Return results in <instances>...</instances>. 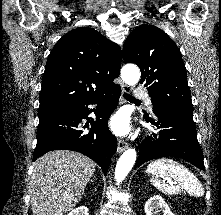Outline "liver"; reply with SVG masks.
<instances>
[{"label": "liver", "mask_w": 221, "mask_h": 215, "mask_svg": "<svg viewBox=\"0 0 221 215\" xmlns=\"http://www.w3.org/2000/svg\"><path fill=\"white\" fill-rule=\"evenodd\" d=\"M95 162L74 151H50L33 164L30 182L33 215H63L73 210L95 171Z\"/></svg>", "instance_id": "6515ba94"}]
</instances>
